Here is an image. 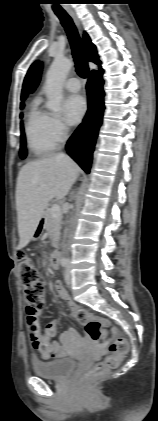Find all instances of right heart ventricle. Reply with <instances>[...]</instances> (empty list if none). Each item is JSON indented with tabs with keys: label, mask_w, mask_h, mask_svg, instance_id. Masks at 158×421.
I'll return each instance as SVG.
<instances>
[{
	"label": "right heart ventricle",
	"mask_w": 158,
	"mask_h": 421,
	"mask_svg": "<svg viewBox=\"0 0 158 421\" xmlns=\"http://www.w3.org/2000/svg\"><path fill=\"white\" fill-rule=\"evenodd\" d=\"M27 144L35 156H44L57 148L58 141L51 130V115L35 102L27 116L25 126Z\"/></svg>",
	"instance_id": "1"
}]
</instances>
